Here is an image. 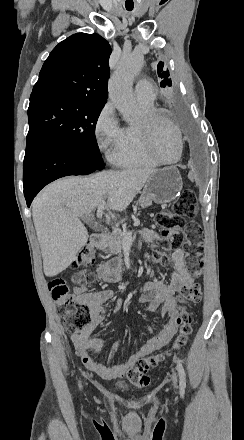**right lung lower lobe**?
I'll return each mask as SVG.
<instances>
[{"label":"right lung lower lobe","mask_w":244,"mask_h":440,"mask_svg":"<svg viewBox=\"0 0 244 440\" xmlns=\"http://www.w3.org/2000/svg\"><path fill=\"white\" fill-rule=\"evenodd\" d=\"M103 168L99 152H85L50 139L27 140L23 165L27 206H30L33 198L48 183L64 176L87 175Z\"/></svg>","instance_id":"right-lung-lower-lobe-1"}]
</instances>
